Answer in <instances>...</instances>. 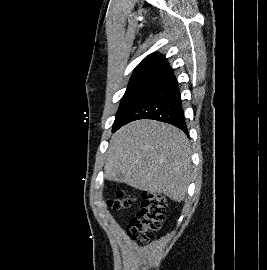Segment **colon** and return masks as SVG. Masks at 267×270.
Wrapping results in <instances>:
<instances>
[{
    "label": "colon",
    "mask_w": 267,
    "mask_h": 270,
    "mask_svg": "<svg viewBox=\"0 0 267 270\" xmlns=\"http://www.w3.org/2000/svg\"><path fill=\"white\" fill-rule=\"evenodd\" d=\"M134 203L132 196L118 192L116 197L108 200L114 210L129 209ZM166 199L161 194L146 193L143 196L142 208L127 226V234L133 240L147 242L160 230L165 218Z\"/></svg>",
    "instance_id": "colon-1"
}]
</instances>
